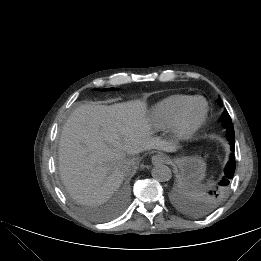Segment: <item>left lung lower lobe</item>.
Instances as JSON below:
<instances>
[{"instance_id": "0a47b994", "label": "left lung lower lobe", "mask_w": 261, "mask_h": 261, "mask_svg": "<svg viewBox=\"0 0 261 261\" xmlns=\"http://www.w3.org/2000/svg\"><path fill=\"white\" fill-rule=\"evenodd\" d=\"M230 145H231V150H234V142H230ZM235 166H236L235 157L233 153H231L230 160L228 161L224 170V174L228 177L230 181L233 178L235 172Z\"/></svg>"}]
</instances>
